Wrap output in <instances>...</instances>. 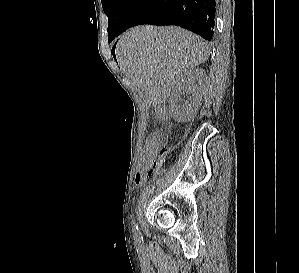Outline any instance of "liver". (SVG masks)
Listing matches in <instances>:
<instances>
[{
	"label": "liver",
	"mask_w": 299,
	"mask_h": 273,
	"mask_svg": "<svg viewBox=\"0 0 299 273\" xmlns=\"http://www.w3.org/2000/svg\"><path fill=\"white\" fill-rule=\"evenodd\" d=\"M209 52L201 37L173 26L134 27L116 47L121 70L153 106L164 103L177 78L205 62Z\"/></svg>",
	"instance_id": "obj_1"
}]
</instances>
